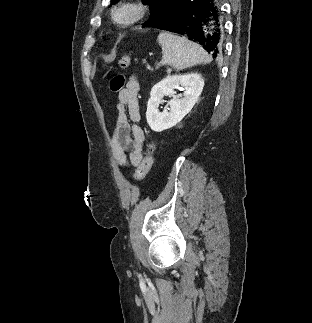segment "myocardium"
<instances>
[{
    "label": "myocardium",
    "instance_id": "obj_1",
    "mask_svg": "<svg viewBox=\"0 0 312 323\" xmlns=\"http://www.w3.org/2000/svg\"><path fill=\"white\" fill-rule=\"evenodd\" d=\"M146 0L126 1L118 5L115 10H109V17H113L117 25H132L137 21H144L146 17L155 11L153 3H145Z\"/></svg>",
    "mask_w": 312,
    "mask_h": 323
}]
</instances>
